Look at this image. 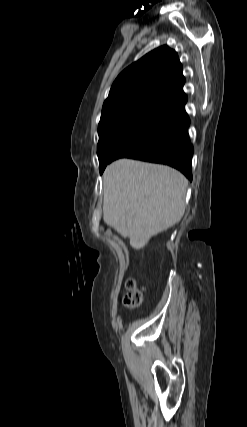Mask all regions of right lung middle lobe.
<instances>
[{"label": "right lung middle lobe", "instance_id": "1", "mask_svg": "<svg viewBox=\"0 0 247 427\" xmlns=\"http://www.w3.org/2000/svg\"><path fill=\"white\" fill-rule=\"evenodd\" d=\"M152 111L146 108H129L101 116L97 146L100 173L125 137Z\"/></svg>", "mask_w": 247, "mask_h": 427}]
</instances>
